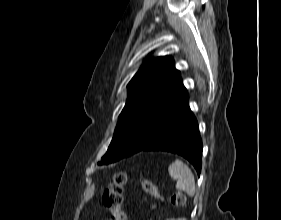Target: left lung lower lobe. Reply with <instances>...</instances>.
Returning <instances> with one entry per match:
<instances>
[{
    "instance_id": "obj_1",
    "label": "left lung lower lobe",
    "mask_w": 281,
    "mask_h": 220,
    "mask_svg": "<svg viewBox=\"0 0 281 220\" xmlns=\"http://www.w3.org/2000/svg\"><path fill=\"white\" fill-rule=\"evenodd\" d=\"M188 98L186 90L167 112L150 142L139 151H166L181 155L199 175L203 147L198 122L190 110Z\"/></svg>"
}]
</instances>
